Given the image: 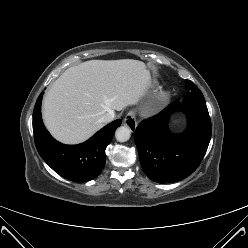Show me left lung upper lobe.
<instances>
[{
  "label": "left lung upper lobe",
  "mask_w": 248,
  "mask_h": 248,
  "mask_svg": "<svg viewBox=\"0 0 248 248\" xmlns=\"http://www.w3.org/2000/svg\"><path fill=\"white\" fill-rule=\"evenodd\" d=\"M186 90L188 91V93L191 92H201L197 86L190 80H186Z\"/></svg>",
  "instance_id": "5c2ea615"
}]
</instances>
